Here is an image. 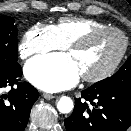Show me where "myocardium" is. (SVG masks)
I'll list each match as a JSON object with an SVG mask.
<instances>
[{"label": "myocardium", "instance_id": "obj_1", "mask_svg": "<svg viewBox=\"0 0 131 131\" xmlns=\"http://www.w3.org/2000/svg\"><path fill=\"white\" fill-rule=\"evenodd\" d=\"M106 32H112V33H116V34L120 35L123 39V47H122L120 53L118 54V56L115 58V60L105 70L101 71L100 73L94 74V75H82V79L84 81L94 83V82L102 81V80L108 78L109 76H111V74L118 68V66L122 62V60L128 50V46H129L128 37L120 29H118L116 27L106 26V27L90 30V31L84 33L83 35L79 36L75 40L71 41L66 46L67 50H71L73 48H78V47H83L95 36L106 33Z\"/></svg>", "mask_w": 131, "mask_h": 131}]
</instances>
